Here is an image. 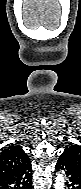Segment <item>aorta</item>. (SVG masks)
<instances>
[{
  "label": "aorta",
  "mask_w": 81,
  "mask_h": 189,
  "mask_svg": "<svg viewBox=\"0 0 81 189\" xmlns=\"http://www.w3.org/2000/svg\"><path fill=\"white\" fill-rule=\"evenodd\" d=\"M55 189H65V178L62 173H58L55 178Z\"/></svg>",
  "instance_id": "762f6f07"
}]
</instances>
